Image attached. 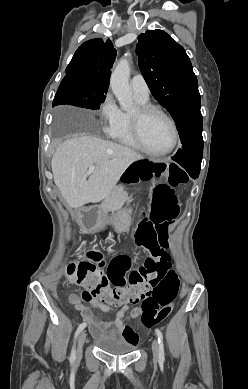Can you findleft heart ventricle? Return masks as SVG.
Segmentation results:
<instances>
[{"instance_id":"b2bd125f","label":"left heart ventricle","mask_w":248,"mask_h":389,"mask_svg":"<svg viewBox=\"0 0 248 389\" xmlns=\"http://www.w3.org/2000/svg\"><path fill=\"white\" fill-rule=\"evenodd\" d=\"M142 136L145 144L153 151H163L169 148L173 140L171 125L157 113L150 114L144 120Z\"/></svg>"}]
</instances>
